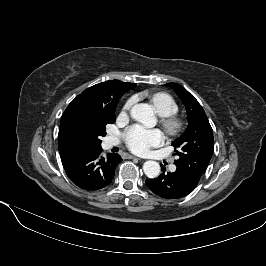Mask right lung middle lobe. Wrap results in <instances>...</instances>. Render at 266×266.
<instances>
[{"label":"right lung middle lobe","mask_w":266,"mask_h":266,"mask_svg":"<svg viewBox=\"0 0 266 266\" xmlns=\"http://www.w3.org/2000/svg\"><path fill=\"white\" fill-rule=\"evenodd\" d=\"M115 109H83L75 114L71 123L72 131L84 149L101 147L100 138L106 135V125L115 122Z\"/></svg>","instance_id":"dd1d6c3e"}]
</instances>
